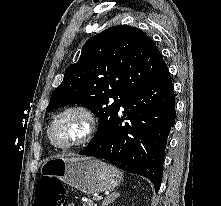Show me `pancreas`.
Here are the masks:
<instances>
[{
	"label": "pancreas",
	"instance_id": "1",
	"mask_svg": "<svg viewBox=\"0 0 221 206\" xmlns=\"http://www.w3.org/2000/svg\"><path fill=\"white\" fill-rule=\"evenodd\" d=\"M82 206H95L93 201H87V202H83Z\"/></svg>",
	"mask_w": 221,
	"mask_h": 206
}]
</instances>
